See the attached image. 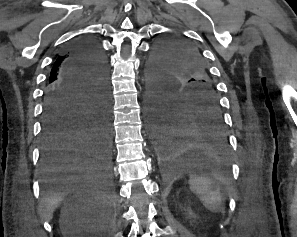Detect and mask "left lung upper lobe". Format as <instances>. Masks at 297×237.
I'll return each instance as SVG.
<instances>
[{"label": "left lung upper lobe", "instance_id": "1", "mask_svg": "<svg viewBox=\"0 0 297 237\" xmlns=\"http://www.w3.org/2000/svg\"><path fill=\"white\" fill-rule=\"evenodd\" d=\"M149 84L150 96L164 95L181 104L203 99L219 104L216 88L199 51L177 38H165L154 47Z\"/></svg>", "mask_w": 297, "mask_h": 237}]
</instances>
